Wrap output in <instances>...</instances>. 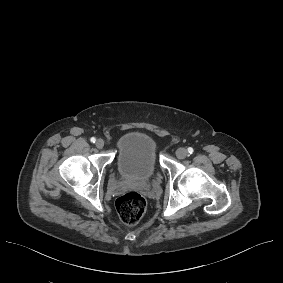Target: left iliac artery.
Segmentation results:
<instances>
[{
    "instance_id": "1",
    "label": "left iliac artery",
    "mask_w": 283,
    "mask_h": 283,
    "mask_svg": "<svg viewBox=\"0 0 283 283\" xmlns=\"http://www.w3.org/2000/svg\"><path fill=\"white\" fill-rule=\"evenodd\" d=\"M193 151H194V150H193V148H192V147H189V148H188V152H189L190 154H192V153H193Z\"/></svg>"
}]
</instances>
